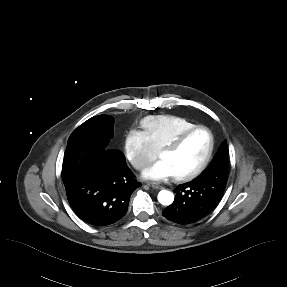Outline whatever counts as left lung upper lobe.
I'll use <instances>...</instances> for the list:
<instances>
[{"instance_id": "obj_1", "label": "left lung upper lobe", "mask_w": 287, "mask_h": 287, "mask_svg": "<svg viewBox=\"0 0 287 287\" xmlns=\"http://www.w3.org/2000/svg\"><path fill=\"white\" fill-rule=\"evenodd\" d=\"M227 168H228V148L227 142L224 141L219 148L217 154L215 155L211 165L195 179L197 182H210V179H213L214 176H217L216 173H222L223 176L227 177Z\"/></svg>"}]
</instances>
